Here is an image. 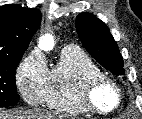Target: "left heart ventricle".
Segmentation results:
<instances>
[{
	"instance_id": "obj_1",
	"label": "left heart ventricle",
	"mask_w": 142,
	"mask_h": 119,
	"mask_svg": "<svg viewBox=\"0 0 142 119\" xmlns=\"http://www.w3.org/2000/svg\"><path fill=\"white\" fill-rule=\"evenodd\" d=\"M97 100L103 108H109L115 101L114 94L109 89H103L97 94Z\"/></svg>"
}]
</instances>
